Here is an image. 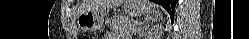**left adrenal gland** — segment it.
<instances>
[{"label":"left adrenal gland","instance_id":"left-adrenal-gland-1","mask_svg":"<svg viewBox=\"0 0 249 39\" xmlns=\"http://www.w3.org/2000/svg\"><path fill=\"white\" fill-rule=\"evenodd\" d=\"M146 22L148 23V21H146ZM142 24H143V22L140 23V25H142ZM136 29L134 31H136L139 34V31H137Z\"/></svg>","mask_w":249,"mask_h":39}]
</instances>
